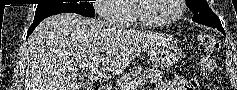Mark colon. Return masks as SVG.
Returning <instances> with one entry per match:
<instances>
[{"mask_svg": "<svg viewBox=\"0 0 237 90\" xmlns=\"http://www.w3.org/2000/svg\"><path fill=\"white\" fill-rule=\"evenodd\" d=\"M207 44L209 47H217L218 46V43L212 39H207Z\"/></svg>", "mask_w": 237, "mask_h": 90, "instance_id": "5ec220e1", "label": "colon"}]
</instances>
